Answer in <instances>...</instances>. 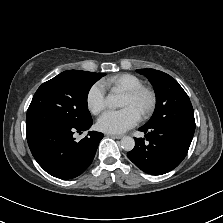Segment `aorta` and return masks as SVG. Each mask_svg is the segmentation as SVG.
Here are the masks:
<instances>
[{
  "label": "aorta",
  "mask_w": 223,
  "mask_h": 223,
  "mask_svg": "<svg viewBox=\"0 0 223 223\" xmlns=\"http://www.w3.org/2000/svg\"><path fill=\"white\" fill-rule=\"evenodd\" d=\"M106 104L109 108H118L122 106V99L117 93H113L106 98ZM120 143L125 151L132 150L135 145V141L131 136H123Z\"/></svg>",
  "instance_id": "1"
}]
</instances>
